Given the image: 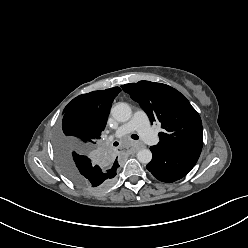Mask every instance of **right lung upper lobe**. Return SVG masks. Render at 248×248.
<instances>
[{
  "label": "right lung upper lobe",
  "mask_w": 248,
  "mask_h": 248,
  "mask_svg": "<svg viewBox=\"0 0 248 248\" xmlns=\"http://www.w3.org/2000/svg\"><path fill=\"white\" fill-rule=\"evenodd\" d=\"M120 91L121 89L119 87H113L79 95L65 107L64 112H82L88 123L100 137L101 132L105 129L112 102ZM98 139H95L93 148ZM111 167L117 170L119 167L117 160L114 161Z\"/></svg>",
  "instance_id": "right-lung-upper-lobe-1"
}]
</instances>
